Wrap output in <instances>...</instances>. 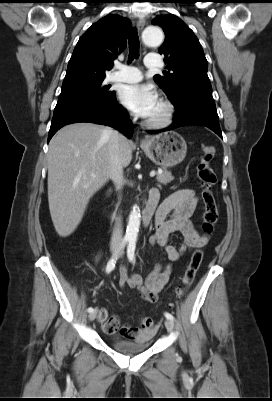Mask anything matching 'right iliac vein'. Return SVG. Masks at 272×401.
Returning <instances> with one entry per match:
<instances>
[{
	"label": "right iliac vein",
	"instance_id": "right-iliac-vein-1",
	"mask_svg": "<svg viewBox=\"0 0 272 401\" xmlns=\"http://www.w3.org/2000/svg\"><path fill=\"white\" fill-rule=\"evenodd\" d=\"M116 250V247H114L113 248V251H115ZM96 315H97V312L95 311V312H91L90 314H89V316H88V319L90 320V321H93L95 318H96Z\"/></svg>",
	"mask_w": 272,
	"mask_h": 401
}]
</instances>
